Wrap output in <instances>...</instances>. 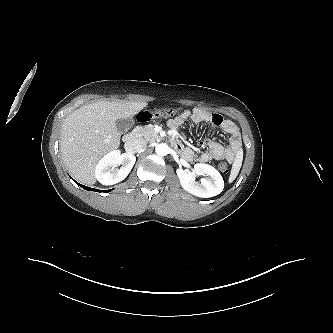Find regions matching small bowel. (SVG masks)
Segmentation results:
<instances>
[{
    "label": "small bowel",
    "instance_id": "small-bowel-1",
    "mask_svg": "<svg viewBox=\"0 0 333 333\" xmlns=\"http://www.w3.org/2000/svg\"><path fill=\"white\" fill-rule=\"evenodd\" d=\"M187 120L193 123H207L211 127L219 128L229 135L228 144L224 145L216 140L205 139L198 144L197 150L184 147L181 143L177 147L187 160L197 159L200 162H208L212 159H228L233 161L241 147V135L237 125L223 118L220 114L195 108L184 110L168 121L171 129H177Z\"/></svg>",
    "mask_w": 333,
    "mask_h": 333
}]
</instances>
